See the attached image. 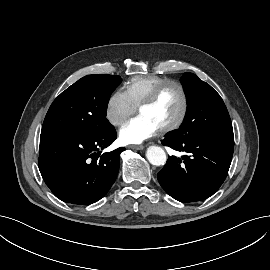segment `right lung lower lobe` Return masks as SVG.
<instances>
[{
    "label": "right lung lower lobe",
    "mask_w": 270,
    "mask_h": 270,
    "mask_svg": "<svg viewBox=\"0 0 270 270\" xmlns=\"http://www.w3.org/2000/svg\"><path fill=\"white\" fill-rule=\"evenodd\" d=\"M117 137L114 127L98 135L41 133L39 170L60 200L88 205L100 200L114 183L119 155L125 148L102 153Z\"/></svg>",
    "instance_id": "obj_1"
}]
</instances>
